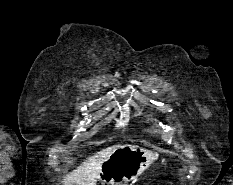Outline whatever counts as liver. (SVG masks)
<instances>
[{"mask_svg": "<svg viewBox=\"0 0 233 185\" xmlns=\"http://www.w3.org/2000/svg\"><path fill=\"white\" fill-rule=\"evenodd\" d=\"M122 145H113L87 158L80 166L68 174L63 185H96L102 164Z\"/></svg>", "mask_w": 233, "mask_h": 185, "instance_id": "1", "label": "liver"}]
</instances>
